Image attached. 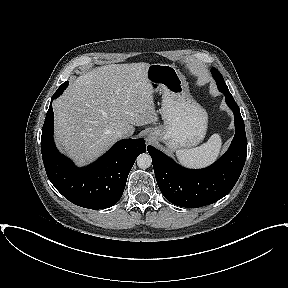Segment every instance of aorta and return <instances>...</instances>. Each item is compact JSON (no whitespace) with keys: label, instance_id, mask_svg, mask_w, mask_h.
Returning <instances> with one entry per match:
<instances>
[{"label":"aorta","instance_id":"762f6f07","mask_svg":"<svg viewBox=\"0 0 288 288\" xmlns=\"http://www.w3.org/2000/svg\"><path fill=\"white\" fill-rule=\"evenodd\" d=\"M137 165L141 169H147L152 164L151 156L148 153H142L140 154L137 159Z\"/></svg>","mask_w":288,"mask_h":288}]
</instances>
